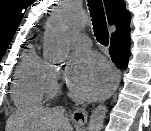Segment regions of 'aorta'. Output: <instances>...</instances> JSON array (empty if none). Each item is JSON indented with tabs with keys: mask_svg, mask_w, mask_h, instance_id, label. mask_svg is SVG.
Instances as JSON below:
<instances>
[{
	"mask_svg": "<svg viewBox=\"0 0 151 131\" xmlns=\"http://www.w3.org/2000/svg\"><path fill=\"white\" fill-rule=\"evenodd\" d=\"M81 22L71 6H65L60 13L48 20L45 33V56L51 61H60L67 55L66 35L78 30ZM107 108L99 104L91 113L88 131H101Z\"/></svg>",
	"mask_w": 151,
	"mask_h": 131,
	"instance_id": "obj_1",
	"label": "aorta"
}]
</instances>
